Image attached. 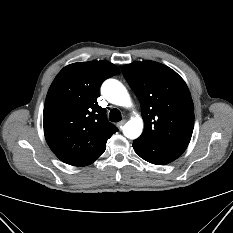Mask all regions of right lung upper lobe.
Listing matches in <instances>:
<instances>
[{"label":"right lung upper lobe","mask_w":233,"mask_h":233,"mask_svg":"<svg viewBox=\"0 0 233 233\" xmlns=\"http://www.w3.org/2000/svg\"><path fill=\"white\" fill-rule=\"evenodd\" d=\"M117 74L119 69L107 61L73 63L51 84L44 106V134L64 163L79 167L93 163L118 131L97 103L102 82Z\"/></svg>","instance_id":"cb5924a9"}]
</instances>
